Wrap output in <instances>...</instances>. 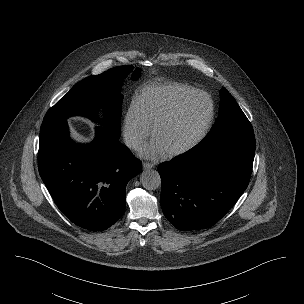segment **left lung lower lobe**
Returning a JSON list of instances; mask_svg holds the SVG:
<instances>
[{"instance_id":"1","label":"left lung lower lobe","mask_w":304,"mask_h":304,"mask_svg":"<svg viewBox=\"0 0 304 304\" xmlns=\"http://www.w3.org/2000/svg\"><path fill=\"white\" fill-rule=\"evenodd\" d=\"M254 154V134H235L160 164L165 217L181 231L213 226L247 188Z\"/></svg>"}]
</instances>
